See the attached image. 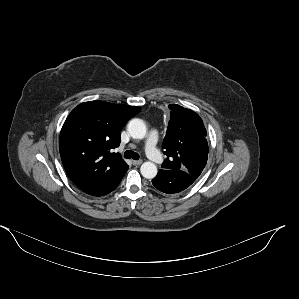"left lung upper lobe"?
Wrapping results in <instances>:
<instances>
[{
    "label": "left lung upper lobe",
    "instance_id": "1",
    "mask_svg": "<svg viewBox=\"0 0 299 299\" xmlns=\"http://www.w3.org/2000/svg\"><path fill=\"white\" fill-rule=\"evenodd\" d=\"M170 121L163 148L167 159L162 169L183 170L194 181L208 159L207 132L197 113L179 105H169Z\"/></svg>",
    "mask_w": 299,
    "mask_h": 299
}]
</instances>
